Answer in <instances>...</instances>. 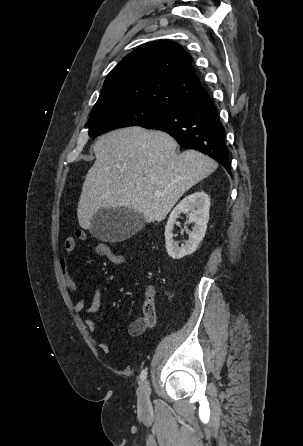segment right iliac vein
<instances>
[{
    "instance_id": "right-iliac-vein-1",
    "label": "right iliac vein",
    "mask_w": 303,
    "mask_h": 446,
    "mask_svg": "<svg viewBox=\"0 0 303 446\" xmlns=\"http://www.w3.org/2000/svg\"><path fill=\"white\" fill-rule=\"evenodd\" d=\"M151 388L148 381L141 384L138 390V405L142 412L149 409Z\"/></svg>"
}]
</instances>
